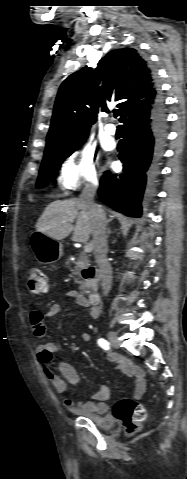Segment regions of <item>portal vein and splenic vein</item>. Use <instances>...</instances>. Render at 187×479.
<instances>
[{
    "label": "portal vein and splenic vein",
    "mask_w": 187,
    "mask_h": 479,
    "mask_svg": "<svg viewBox=\"0 0 187 479\" xmlns=\"http://www.w3.org/2000/svg\"><path fill=\"white\" fill-rule=\"evenodd\" d=\"M92 248H93V247H92V244H86V245L84 246V252L89 253V252L92 251Z\"/></svg>",
    "instance_id": "obj_1"
}]
</instances>
